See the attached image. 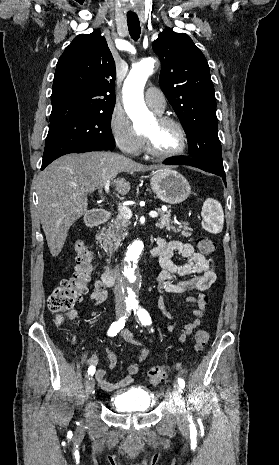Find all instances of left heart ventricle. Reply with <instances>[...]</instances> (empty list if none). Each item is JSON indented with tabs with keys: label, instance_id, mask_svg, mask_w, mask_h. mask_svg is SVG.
<instances>
[{
	"label": "left heart ventricle",
	"instance_id": "1",
	"mask_svg": "<svg viewBox=\"0 0 279 465\" xmlns=\"http://www.w3.org/2000/svg\"><path fill=\"white\" fill-rule=\"evenodd\" d=\"M153 143L154 148L162 153L175 151L180 145L178 129L171 124L160 125L154 120L145 130Z\"/></svg>",
	"mask_w": 279,
	"mask_h": 465
}]
</instances>
